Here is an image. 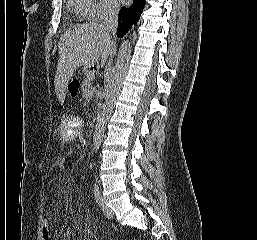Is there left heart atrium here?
<instances>
[{"label":"left heart atrium","mask_w":257,"mask_h":240,"mask_svg":"<svg viewBox=\"0 0 257 240\" xmlns=\"http://www.w3.org/2000/svg\"><path fill=\"white\" fill-rule=\"evenodd\" d=\"M120 2H122V3H125V2H127L128 0H119Z\"/></svg>","instance_id":"left-heart-atrium-1"}]
</instances>
